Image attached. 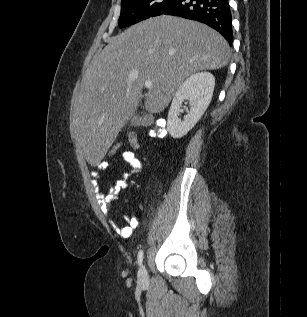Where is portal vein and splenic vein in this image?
<instances>
[{
  "label": "portal vein and splenic vein",
  "mask_w": 307,
  "mask_h": 317,
  "mask_svg": "<svg viewBox=\"0 0 307 317\" xmlns=\"http://www.w3.org/2000/svg\"><path fill=\"white\" fill-rule=\"evenodd\" d=\"M144 85L147 89H150L153 87V83L150 80H146Z\"/></svg>",
  "instance_id": "1"
}]
</instances>
